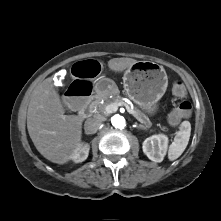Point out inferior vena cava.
<instances>
[{
    "mask_svg": "<svg viewBox=\"0 0 221 221\" xmlns=\"http://www.w3.org/2000/svg\"><path fill=\"white\" fill-rule=\"evenodd\" d=\"M102 124V119L99 118H89L85 121L84 128L89 134L96 133Z\"/></svg>",
    "mask_w": 221,
    "mask_h": 221,
    "instance_id": "inferior-vena-cava-1",
    "label": "inferior vena cava"
}]
</instances>
